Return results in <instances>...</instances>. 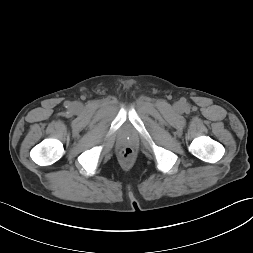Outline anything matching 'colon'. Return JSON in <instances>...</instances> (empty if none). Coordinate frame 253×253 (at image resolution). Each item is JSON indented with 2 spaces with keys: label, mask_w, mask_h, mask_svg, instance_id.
Instances as JSON below:
<instances>
[{
  "label": "colon",
  "mask_w": 253,
  "mask_h": 253,
  "mask_svg": "<svg viewBox=\"0 0 253 253\" xmlns=\"http://www.w3.org/2000/svg\"><path fill=\"white\" fill-rule=\"evenodd\" d=\"M120 155L123 159L129 160L133 157L134 150L131 147H124V148L121 149Z\"/></svg>",
  "instance_id": "obj_1"
}]
</instances>
